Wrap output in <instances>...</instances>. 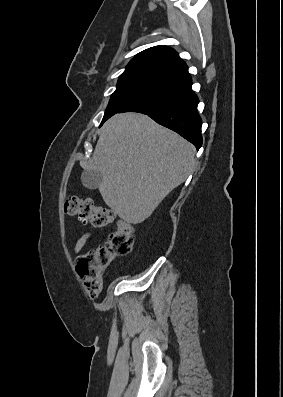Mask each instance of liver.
<instances>
[{
	"label": "liver",
	"instance_id": "obj_1",
	"mask_svg": "<svg viewBox=\"0 0 283 397\" xmlns=\"http://www.w3.org/2000/svg\"><path fill=\"white\" fill-rule=\"evenodd\" d=\"M195 147L146 115L121 113L102 127L87 170L102 173L108 207L131 224L146 220L195 169Z\"/></svg>",
	"mask_w": 283,
	"mask_h": 397
}]
</instances>
